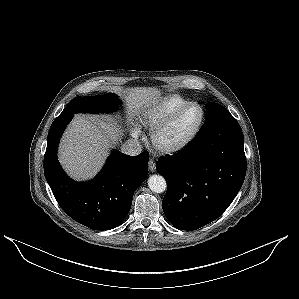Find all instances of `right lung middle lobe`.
I'll use <instances>...</instances> for the list:
<instances>
[{
  "mask_svg": "<svg viewBox=\"0 0 299 299\" xmlns=\"http://www.w3.org/2000/svg\"><path fill=\"white\" fill-rule=\"evenodd\" d=\"M119 100L117 95L107 93L104 95L76 97L69 102L61 114H74L78 112L98 113L110 112L117 108Z\"/></svg>",
  "mask_w": 299,
  "mask_h": 299,
  "instance_id": "dd1d6c3e",
  "label": "right lung middle lobe"
}]
</instances>
